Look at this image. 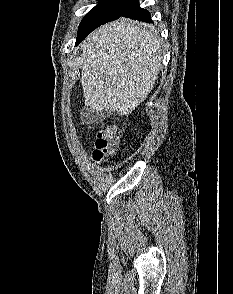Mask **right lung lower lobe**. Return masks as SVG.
Segmentation results:
<instances>
[{
    "label": "right lung lower lobe",
    "mask_w": 233,
    "mask_h": 294,
    "mask_svg": "<svg viewBox=\"0 0 233 294\" xmlns=\"http://www.w3.org/2000/svg\"><path fill=\"white\" fill-rule=\"evenodd\" d=\"M121 16L128 17V18L134 19V20L152 23L149 11H147L146 9L140 8L138 0H132L130 2V4L127 6V8L124 10V12L122 13ZM98 26H100V25H98ZM98 26H96V27H98ZM95 28H92L89 31H87L86 33L77 37L76 45H78Z\"/></svg>",
    "instance_id": "right-lung-lower-lobe-1"
}]
</instances>
